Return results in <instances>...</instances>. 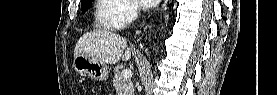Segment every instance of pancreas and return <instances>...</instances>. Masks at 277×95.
Segmentation results:
<instances>
[{"label": "pancreas", "mask_w": 277, "mask_h": 95, "mask_svg": "<svg viewBox=\"0 0 277 95\" xmlns=\"http://www.w3.org/2000/svg\"><path fill=\"white\" fill-rule=\"evenodd\" d=\"M113 85L118 95H133L134 87L131 80L121 77L119 72L115 73Z\"/></svg>", "instance_id": "1"}]
</instances>
